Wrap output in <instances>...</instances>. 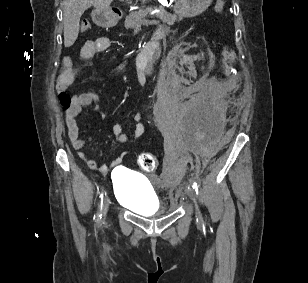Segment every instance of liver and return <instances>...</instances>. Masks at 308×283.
<instances>
[{"mask_svg": "<svg viewBox=\"0 0 308 283\" xmlns=\"http://www.w3.org/2000/svg\"><path fill=\"white\" fill-rule=\"evenodd\" d=\"M113 0H64L63 25L64 46L70 47L76 41L79 34L80 18L91 6L97 10H106ZM148 0H142L145 2Z\"/></svg>", "mask_w": 308, "mask_h": 283, "instance_id": "1", "label": "liver"}]
</instances>
